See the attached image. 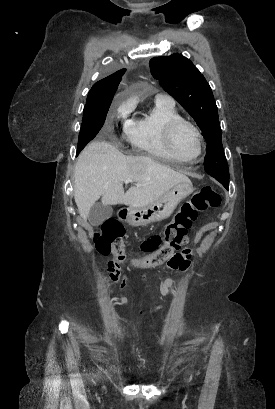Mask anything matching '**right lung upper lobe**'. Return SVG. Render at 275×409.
Instances as JSON below:
<instances>
[{
    "mask_svg": "<svg viewBox=\"0 0 275 409\" xmlns=\"http://www.w3.org/2000/svg\"><path fill=\"white\" fill-rule=\"evenodd\" d=\"M126 69L98 81L93 85L87 96V106H103L111 104L121 78Z\"/></svg>",
    "mask_w": 275,
    "mask_h": 409,
    "instance_id": "right-lung-upper-lobe-1",
    "label": "right lung upper lobe"
}]
</instances>
